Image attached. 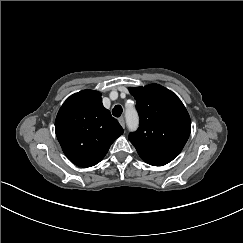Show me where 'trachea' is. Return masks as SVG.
<instances>
[{"mask_svg":"<svg viewBox=\"0 0 243 243\" xmlns=\"http://www.w3.org/2000/svg\"><path fill=\"white\" fill-rule=\"evenodd\" d=\"M122 107L120 105H116L113 109H112V114L115 116V117H120L121 114H122Z\"/></svg>","mask_w":243,"mask_h":243,"instance_id":"trachea-1","label":"trachea"}]
</instances>
